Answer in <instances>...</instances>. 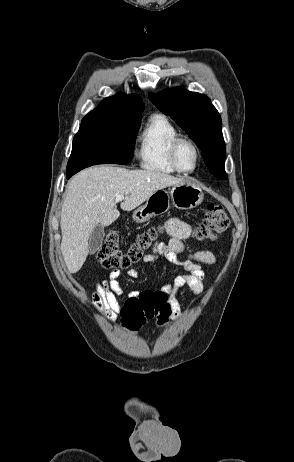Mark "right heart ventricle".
I'll list each match as a JSON object with an SVG mask.
<instances>
[{"instance_id": "1", "label": "right heart ventricle", "mask_w": 294, "mask_h": 462, "mask_svg": "<svg viewBox=\"0 0 294 462\" xmlns=\"http://www.w3.org/2000/svg\"><path fill=\"white\" fill-rule=\"evenodd\" d=\"M178 136L179 131L168 117L163 114L151 116L139 135L137 156L140 166L153 173H176L169 159V149Z\"/></svg>"}]
</instances>
